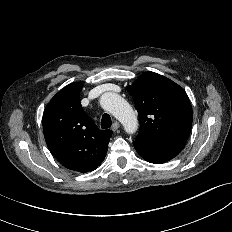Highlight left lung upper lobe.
Segmentation results:
<instances>
[{
    "instance_id": "left-lung-upper-lobe-1",
    "label": "left lung upper lobe",
    "mask_w": 232,
    "mask_h": 232,
    "mask_svg": "<svg viewBox=\"0 0 232 232\" xmlns=\"http://www.w3.org/2000/svg\"><path fill=\"white\" fill-rule=\"evenodd\" d=\"M127 90L133 97L140 119L135 141H187L193 111L186 92L178 84L157 73L147 72Z\"/></svg>"
}]
</instances>
